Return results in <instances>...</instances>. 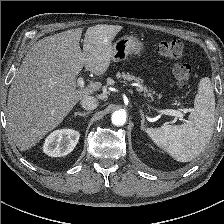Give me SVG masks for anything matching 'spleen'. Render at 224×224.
Wrapping results in <instances>:
<instances>
[{"label":"spleen","mask_w":224,"mask_h":224,"mask_svg":"<svg viewBox=\"0 0 224 224\" xmlns=\"http://www.w3.org/2000/svg\"><path fill=\"white\" fill-rule=\"evenodd\" d=\"M215 124V96L209 77L198 83L194 108L181 125L147 128L146 133L161 149L179 162H190L209 144Z\"/></svg>","instance_id":"1"}]
</instances>
